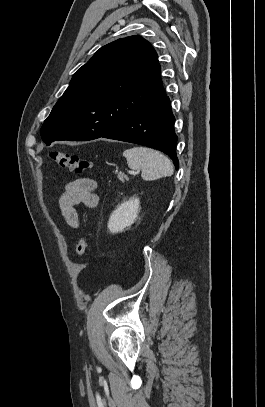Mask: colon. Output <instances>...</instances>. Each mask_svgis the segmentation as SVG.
<instances>
[{"label":"colon","mask_w":265,"mask_h":407,"mask_svg":"<svg viewBox=\"0 0 265 407\" xmlns=\"http://www.w3.org/2000/svg\"><path fill=\"white\" fill-rule=\"evenodd\" d=\"M50 158L53 162H55L58 166L70 169L76 173H82L91 168L92 163L84 158H80L79 156L62 151V150H54L50 153ZM89 237L83 235L79 237L75 253L78 258H83L87 249L89 248Z\"/></svg>","instance_id":"5ec220e1"}]
</instances>
